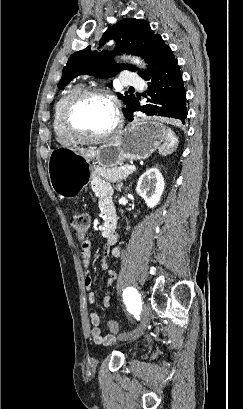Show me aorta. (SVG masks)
<instances>
[{
  "mask_svg": "<svg viewBox=\"0 0 243 409\" xmlns=\"http://www.w3.org/2000/svg\"><path fill=\"white\" fill-rule=\"evenodd\" d=\"M134 63L139 64L140 61L138 59H134Z\"/></svg>",
  "mask_w": 243,
  "mask_h": 409,
  "instance_id": "aorta-1",
  "label": "aorta"
}]
</instances>
